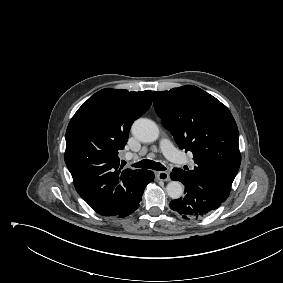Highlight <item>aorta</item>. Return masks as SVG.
<instances>
[{"instance_id": "obj_1", "label": "aorta", "mask_w": 283, "mask_h": 283, "mask_svg": "<svg viewBox=\"0 0 283 283\" xmlns=\"http://www.w3.org/2000/svg\"><path fill=\"white\" fill-rule=\"evenodd\" d=\"M132 134L141 142H154L159 137V128L156 123L147 118H139L131 128ZM167 194L172 199H178L183 195V185L178 181H171L166 186Z\"/></svg>"}]
</instances>
